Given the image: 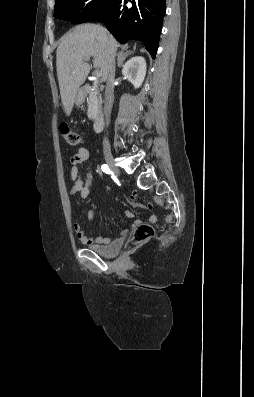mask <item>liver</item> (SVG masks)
Here are the masks:
<instances>
[{
  "label": "liver",
  "mask_w": 254,
  "mask_h": 397,
  "mask_svg": "<svg viewBox=\"0 0 254 397\" xmlns=\"http://www.w3.org/2000/svg\"><path fill=\"white\" fill-rule=\"evenodd\" d=\"M118 43L108 31L94 24L76 26L64 37L56 51L57 77L64 112L70 116L77 91L90 72L86 63L93 57V65L100 68L104 79L112 56L115 58Z\"/></svg>",
  "instance_id": "obj_1"
}]
</instances>
